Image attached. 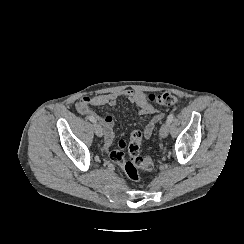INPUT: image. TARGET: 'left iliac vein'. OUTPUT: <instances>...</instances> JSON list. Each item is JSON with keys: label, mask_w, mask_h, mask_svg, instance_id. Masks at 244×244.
Returning a JSON list of instances; mask_svg holds the SVG:
<instances>
[{"label": "left iliac vein", "mask_w": 244, "mask_h": 244, "mask_svg": "<svg viewBox=\"0 0 244 244\" xmlns=\"http://www.w3.org/2000/svg\"><path fill=\"white\" fill-rule=\"evenodd\" d=\"M169 127H170V124L167 122H165L164 124L161 125L160 131H159L161 138H166L168 136Z\"/></svg>", "instance_id": "4c4485c4"}]
</instances>
